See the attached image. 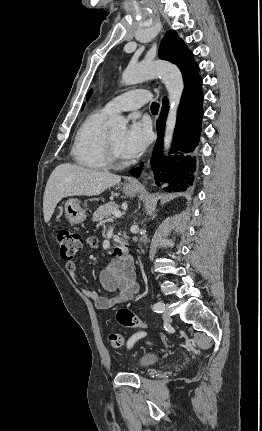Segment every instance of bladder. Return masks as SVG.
<instances>
[{"instance_id":"1","label":"bladder","mask_w":262,"mask_h":431,"mask_svg":"<svg viewBox=\"0 0 262 431\" xmlns=\"http://www.w3.org/2000/svg\"><path fill=\"white\" fill-rule=\"evenodd\" d=\"M157 361L156 354L152 352H144L137 358V369L146 370Z\"/></svg>"}]
</instances>
